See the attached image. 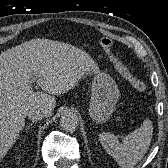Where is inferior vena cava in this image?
I'll list each match as a JSON object with an SVG mask.
<instances>
[{"instance_id":"obj_1","label":"inferior vena cava","mask_w":168,"mask_h":168,"mask_svg":"<svg viewBox=\"0 0 168 168\" xmlns=\"http://www.w3.org/2000/svg\"><path fill=\"white\" fill-rule=\"evenodd\" d=\"M28 118L31 119L33 122L42 120L44 117H46V114L44 111L40 109H31L27 113Z\"/></svg>"}]
</instances>
